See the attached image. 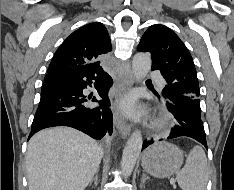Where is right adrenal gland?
Instances as JSON below:
<instances>
[{
  "instance_id": "right-adrenal-gland-1",
  "label": "right adrenal gland",
  "mask_w": 234,
  "mask_h": 190,
  "mask_svg": "<svg viewBox=\"0 0 234 190\" xmlns=\"http://www.w3.org/2000/svg\"><path fill=\"white\" fill-rule=\"evenodd\" d=\"M98 173H99V170L96 171L95 177L90 181L89 186H91L93 182H94L95 186L98 185Z\"/></svg>"
}]
</instances>
